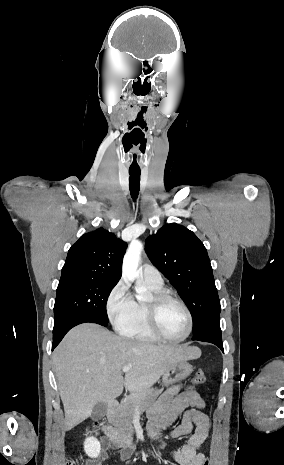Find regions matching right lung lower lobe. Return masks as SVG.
Instances as JSON below:
<instances>
[{"label": "right lung lower lobe", "mask_w": 284, "mask_h": 465, "mask_svg": "<svg viewBox=\"0 0 284 465\" xmlns=\"http://www.w3.org/2000/svg\"><path fill=\"white\" fill-rule=\"evenodd\" d=\"M97 323L102 326H107L108 323L103 322L95 317H90V316H77V317H72L64 321L63 323L54 326L53 329V343H52V350L60 343V341L63 339L65 334L74 326L79 325L81 323Z\"/></svg>", "instance_id": "obj_1"}]
</instances>
